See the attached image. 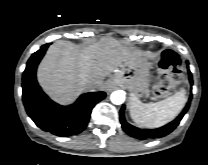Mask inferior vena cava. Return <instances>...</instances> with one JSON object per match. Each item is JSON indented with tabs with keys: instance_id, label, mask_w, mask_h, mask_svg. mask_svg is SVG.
Returning a JSON list of instances; mask_svg holds the SVG:
<instances>
[{
	"instance_id": "inferior-vena-cava-1",
	"label": "inferior vena cava",
	"mask_w": 208,
	"mask_h": 165,
	"mask_svg": "<svg viewBox=\"0 0 208 165\" xmlns=\"http://www.w3.org/2000/svg\"><path fill=\"white\" fill-rule=\"evenodd\" d=\"M87 88H88V89H95V88H97V85H96L95 83H89V84L87 85Z\"/></svg>"
}]
</instances>
